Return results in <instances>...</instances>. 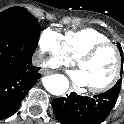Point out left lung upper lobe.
I'll return each instance as SVG.
<instances>
[{"label":"left lung upper lobe","mask_w":124,"mask_h":124,"mask_svg":"<svg viewBox=\"0 0 124 124\" xmlns=\"http://www.w3.org/2000/svg\"><path fill=\"white\" fill-rule=\"evenodd\" d=\"M117 46L119 48V51H120V54H121V58H122V61H123V50H122L121 45L119 43H117ZM115 86H118L119 88H121V79H119L117 81Z\"/></svg>","instance_id":"obj_1"}]
</instances>
